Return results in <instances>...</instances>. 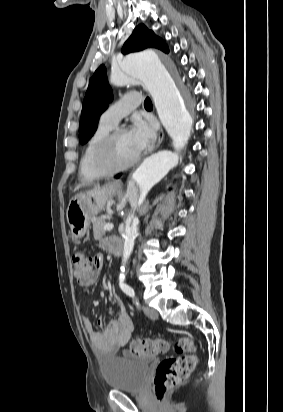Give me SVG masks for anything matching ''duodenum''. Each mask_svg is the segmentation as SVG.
I'll list each match as a JSON object with an SVG mask.
<instances>
[{"label": "duodenum", "instance_id": "1", "mask_svg": "<svg viewBox=\"0 0 283 412\" xmlns=\"http://www.w3.org/2000/svg\"><path fill=\"white\" fill-rule=\"evenodd\" d=\"M122 248V241L120 239L115 238L110 250L113 254H119Z\"/></svg>", "mask_w": 283, "mask_h": 412}]
</instances>
